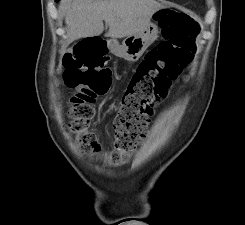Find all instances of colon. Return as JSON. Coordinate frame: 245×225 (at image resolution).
Returning a JSON list of instances; mask_svg holds the SVG:
<instances>
[{
  "instance_id": "obj_1",
  "label": "colon",
  "mask_w": 245,
  "mask_h": 225,
  "mask_svg": "<svg viewBox=\"0 0 245 225\" xmlns=\"http://www.w3.org/2000/svg\"><path fill=\"white\" fill-rule=\"evenodd\" d=\"M159 22L163 40L133 70L113 122L115 147L111 151L101 153L93 134L87 131L97 98L104 96L110 86L112 71L105 42L95 37L81 38L60 61L58 75L74 90L67 110L68 129L76 135L84 154L114 164L125 163L145 137L154 109L191 63L198 23L173 9L162 10Z\"/></svg>"
}]
</instances>
